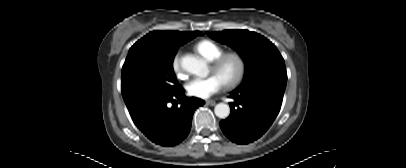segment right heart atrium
<instances>
[{
    "label": "right heart atrium",
    "instance_id": "right-heart-atrium-1",
    "mask_svg": "<svg viewBox=\"0 0 406 168\" xmlns=\"http://www.w3.org/2000/svg\"><path fill=\"white\" fill-rule=\"evenodd\" d=\"M172 69L180 79L185 78L186 74H185L184 67L182 65V59H181L180 52H177L172 59Z\"/></svg>",
    "mask_w": 406,
    "mask_h": 168
}]
</instances>
